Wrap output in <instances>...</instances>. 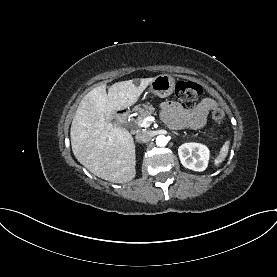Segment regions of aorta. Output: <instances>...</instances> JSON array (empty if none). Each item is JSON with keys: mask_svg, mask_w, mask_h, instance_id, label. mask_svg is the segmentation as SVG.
<instances>
[{"mask_svg": "<svg viewBox=\"0 0 277 277\" xmlns=\"http://www.w3.org/2000/svg\"><path fill=\"white\" fill-rule=\"evenodd\" d=\"M168 140L164 135H159L156 138V144L160 147L165 146L167 144Z\"/></svg>", "mask_w": 277, "mask_h": 277, "instance_id": "aorta-1", "label": "aorta"}]
</instances>
